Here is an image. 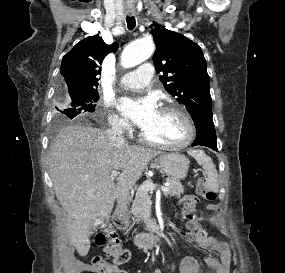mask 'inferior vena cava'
<instances>
[{
    "label": "inferior vena cava",
    "instance_id": "1",
    "mask_svg": "<svg viewBox=\"0 0 285 273\" xmlns=\"http://www.w3.org/2000/svg\"><path fill=\"white\" fill-rule=\"evenodd\" d=\"M124 126L125 124L122 121H115L112 128L106 131V135L113 141L124 142Z\"/></svg>",
    "mask_w": 285,
    "mask_h": 273
}]
</instances>
